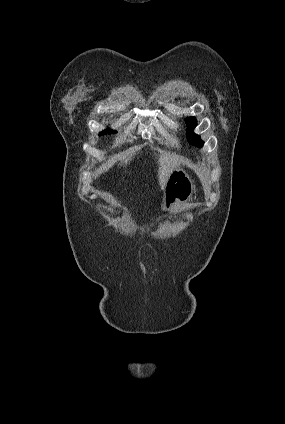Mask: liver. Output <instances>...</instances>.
Segmentation results:
<instances>
[{
	"mask_svg": "<svg viewBox=\"0 0 285 424\" xmlns=\"http://www.w3.org/2000/svg\"><path fill=\"white\" fill-rule=\"evenodd\" d=\"M136 152L137 150L132 148L126 152L124 157H120V160L123 162V164L127 165L128 163H130L132 158H134ZM177 164V158L173 155H167L162 153L158 156V180L162 190L164 189L170 174L177 167Z\"/></svg>",
	"mask_w": 285,
	"mask_h": 424,
	"instance_id": "1",
	"label": "liver"
}]
</instances>
